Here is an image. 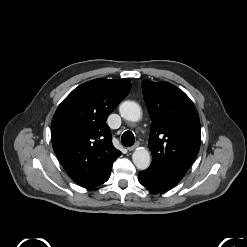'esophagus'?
Here are the masks:
<instances>
[{
	"label": "esophagus",
	"mask_w": 247,
	"mask_h": 247,
	"mask_svg": "<svg viewBox=\"0 0 247 247\" xmlns=\"http://www.w3.org/2000/svg\"><path fill=\"white\" fill-rule=\"evenodd\" d=\"M139 142H136L133 146H130V147H128L127 149L129 150V151H133L134 149H136L137 147H139Z\"/></svg>",
	"instance_id": "1"
}]
</instances>
